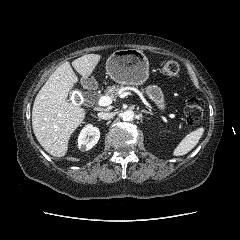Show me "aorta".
<instances>
[{
  "mask_svg": "<svg viewBox=\"0 0 240 240\" xmlns=\"http://www.w3.org/2000/svg\"><path fill=\"white\" fill-rule=\"evenodd\" d=\"M135 117V114L132 110H127L122 113V119L124 121H132Z\"/></svg>",
  "mask_w": 240,
  "mask_h": 240,
  "instance_id": "obj_1",
  "label": "aorta"
}]
</instances>
